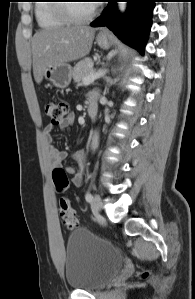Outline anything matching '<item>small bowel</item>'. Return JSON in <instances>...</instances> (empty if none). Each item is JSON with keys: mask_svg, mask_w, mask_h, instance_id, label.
I'll list each match as a JSON object with an SVG mask.
<instances>
[{"mask_svg": "<svg viewBox=\"0 0 195 299\" xmlns=\"http://www.w3.org/2000/svg\"><path fill=\"white\" fill-rule=\"evenodd\" d=\"M73 124V117L68 116L64 118L59 124H48L43 130V140L47 146V152L51 163L56 166L59 165L64 159L67 158L68 153L64 150L57 149L53 144V133L56 127L61 130H69ZM76 167L67 166L66 172L72 174V183L75 186H81L83 180V173L85 169V152L78 150L71 155Z\"/></svg>", "mask_w": 195, "mask_h": 299, "instance_id": "obj_1", "label": "small bowel"}]
</instances>
